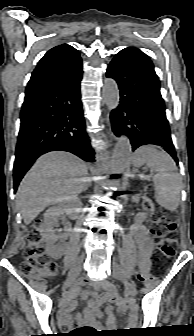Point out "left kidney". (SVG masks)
<instances>
[{
  "label": "left kidney",
  "mask_w": 194,
  "mask_h": 336,
  "mask_svg": "<svg viewBox=\"0 0 194 336\" xmlns=\"http://www.w3.org/2000/svg\"><path fill=\"white\" fill-rule=\"evenodd\" d=\"M147 218V213L140 212L136 215L135 220L137 222H143Z\"/></svg>",
  "instance_id": "left-kidney-1"
}]
</instances>
